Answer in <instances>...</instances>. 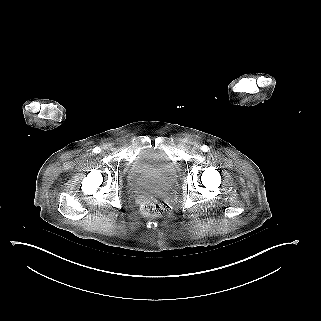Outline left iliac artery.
<instances>
[{"label": "left iliac artery", "instance_id": "obj_1", "mask_svg": "<svg viewBox=\"0 0 321 321\" xmlns=\"http://www.w3.org/2000/svg\"><path fill=\"white\" fill-rule=\"evenodd\" d=\"M201 150H202L203 152H207V151L209 150V148H208V146L203 145V146L201 147Z\"/></svg>", "mask_w": 321, "mask_h": 321}]
</instances>
